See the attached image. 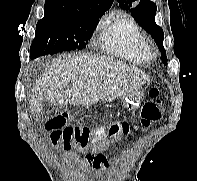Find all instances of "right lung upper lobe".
I'll return each instance as SVG.
<instances>
[{"label": "right lung upper lobe", "instance_id": "right-lung-upper-lobe-1", "mask_svg": "<svg viewBox=\"0 0 197 181\" xmlns=\"http://www.w3.org/2000/svg\"><path fill=\"white\" fill-rule=\"evenodd\" d=\"M113 0H47L44 12L66 17L105 14Z\"/></svg>", "mask_w": 197, "mask_h": 181}]
</instances>
